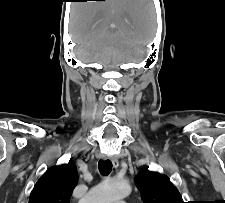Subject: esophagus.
Returning <instances> with one entry per match:
<instances>
[{"mask_svg": "<svg viewBox=\"0 0 225 203\" xmlns=\"http://www.w3.org/2000/svg\"><path fill=\"white\" fill-rule=\"evenodd\" d=\"M103 158L106 159L107 157H103ZM110 160H111L113 166H114L115 168H117L118 165H119L118 159H117L116 157H110Z\"/></svg>", "mask_w": 225, "mask_h": 203, "instance_id": "obj_1", "label": "esophagus"}]
</instances>
